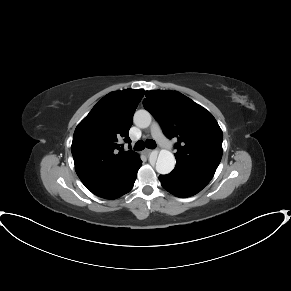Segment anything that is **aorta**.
Wrapping results in <instances>:
<instances>
[{
    "label": "aorta",
    "instance_id": "obj_1",
    "mask_svg": "<svg viewBox=\"0 0 291 291\" xmlns=\"http://www.w3.org/2000/svg\"><path fill=\"white\" fill-rule=\"evenodd\" d=\"M133 120L137 127L147 128L151 124L152 116L147 110L141 109L135 112ZM175 163V157L170 151L161 150L156 162V171L162 175L169 174Z\"/></svg>",
    "mask_w": 291,
    "mask_h": 291
}]
</instances>
